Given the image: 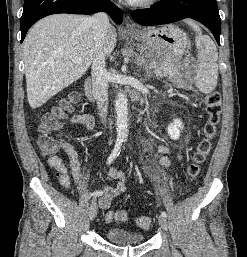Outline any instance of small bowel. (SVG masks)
I'll use <instances>...</instances> for the list:
<instances>
[{
    "label": "small bowel",
    "mask_w": 247,
    "mask_h": 257,
    "mask_svg": "<svg viewBox=\"0 0 247 257\" xmlns=\"http://www.w3.org/2000/svg\"><path fill=\"white\" fill-rule=\"evenodd\" d=\"M73 124H84L89 129L94 127V120L90 115L87 114H78L72 119ZM59 145L61 149L65 152L69 159V168L63 163L62 159L59 156H52L47 158V163L50 167L54 168L57 172V177L60 184L64 188H69L71 185V178L69 171L73 179L79 184H82V170L81 164L78 157V153L74 146L64 139L59 140ZM157 151L162 154L160 157V163L163 166H169L170 159L167 157L168 148L164 145L158 147ZM109 175L113 178L118 179V182L115 186H101L95 192H101L99 199V206L102 209L109 207L111 201L117 196L123 194L127 189V184L125 177L121 171L116 170L115 168L109 169Z\"/></svg>",
    "instance_id": "1"
}]
</instances>
